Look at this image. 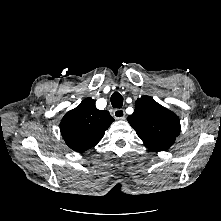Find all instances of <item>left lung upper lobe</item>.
I'll return each instance as SVG.
<instances>
[{
	"instance_id": "left-lung-upper-lobe-1",
	"label": "left lung upper lobe",
	"mask_w": 221,
	"mask_h": 221,
	"mask_svg": "<svg viewBox=\"0 0 221 221\" xmlns=\"http://www.w3.org/2000/svg\"><path fill=\"white\" fill-rule=\"evenodd\" d=\"M144 145L154 152L166 151L180 133V120L149 96L138 98L127 118Z\"/></svg>"
}]
</instances>
